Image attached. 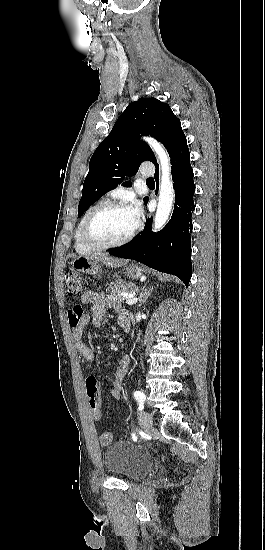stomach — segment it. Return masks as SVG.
Listing matches in <instances>:
<instances>
[{"mask_svg": "<svg viewBox=\"0 0 265 550\" xmlns=\"http://www.w3.org/2000/svg\"><path fill=\"white\" fill-rule=\"evenodd\" d=\"M72 268L76 271L98 277L102 273L100 261L94 257H76L71 262ZM127 277L138 279L142 276V269L137 265L126 267Z\"/></svg>", "mask_w": 265, "mask_h": 550, "instance_id": "stomach-1", "label": "stomach"}]
</instances>
